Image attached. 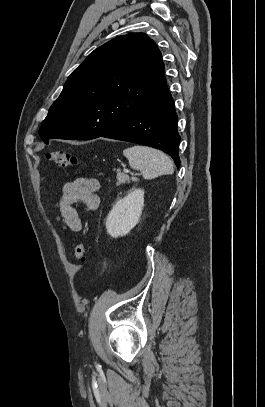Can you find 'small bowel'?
Returning a JSON list of instances; mask_svg holds the SVG:
<instances>
[{
	"mask_svg": "<svg viewBox=\"0 0 265 407\" xmlns=\"http://www.w3.org/2000/svg\"><path fill=\"white\" fill-rule=\"evenodd\" d=\"M99 188V181L88 177H79L63 186L56 209L58 211L57 221L64 230L73 232L82 230V221L76 206H83L87 210L97 209Z\"/></svg>",
	"mask_w": 265,
	"mask_h": 407,
	"instance_id": "obj_1",
	"label": "small bowel"
}]
</instances>
